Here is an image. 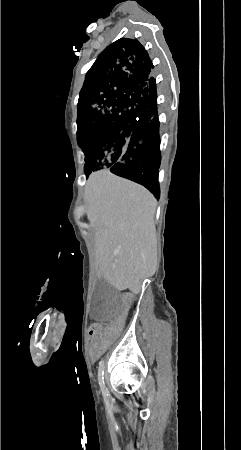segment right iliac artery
<instances>
[{"label": "right iliac artery", "instance_id": "obj_1", "mask_svg": "<svg viewBox=\"0 0 241 450\" xmlns=\"http://www.w3.org/2000/svg\"><path fill=\"white\" fill-rule=\"evenodd\" d=\"M98 380H99V385L101 387V390L103 392L104 395H108V389L105 386V382H104V366H103V361L100 362L99 365V370H98Z\"/></svg>", "mask_w": 241, "mask_h": 450}]
</instances>
